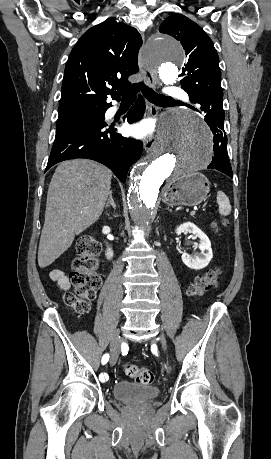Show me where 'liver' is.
<instances>
[{
	"mask_svg": "<svg viewBox=\"0 0 271 459\" xmlns=\"http://www.w3.org/2000/svg\"><path fill=\"white\" fill-rule=\"evenodd\" d=\"M112 172L93 160L61 162L47 192L38 263L47 267L70 247L75 235L99 220Z\"/></svg>",
	"mask_w": 271,
	"mask_h": 459,
	"instance_id": "1",
	"label": "liver"
}]
</instances>
